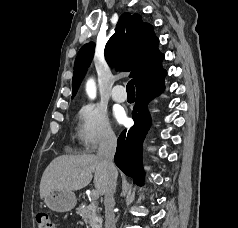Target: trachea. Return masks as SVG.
<instances>
[{"instance_id":"trachea-1","label":"trachea","mask_w":238,"mask_h":228,"mask_svg":"<svg viewBox=\"0 0 238 228\" xmlns=\"http://www.w3.org/2000/svg\"><path fill=\"white\" fill-rule=\"evenodd\" d=\"M127 94L135 96V88L133 80H130L126 86Z\"/></svg>"}]
</instances>
